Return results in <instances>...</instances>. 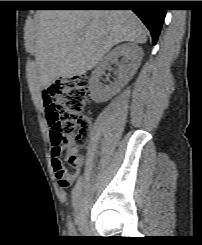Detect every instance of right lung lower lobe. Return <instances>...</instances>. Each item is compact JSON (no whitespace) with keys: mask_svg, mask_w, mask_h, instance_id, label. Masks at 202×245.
Wrapping results in <instances>:
<instances>
[{"mask_svg":"<svg viewBox=\"0 0 202 245\" xmlns=\"http://www.w3.org/2000/svg\"><path fill=\"white\" fill-rule=\"evenodd\" d=\"M83 7H123L130 6L132 11L142 20L149 29L154 44L159 37V33L164 22L166 10L161 8L157 1H130L120 3L118 1H82Z\"/></svg>","mask_w":202,"mask_h":245,"instance_id":"1","label":"right lung lower lobe"}]
</instances>
